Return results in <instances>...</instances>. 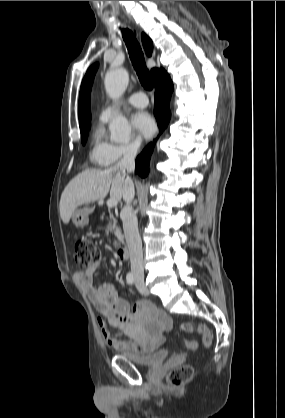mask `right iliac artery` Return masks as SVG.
<instances>
[{"instance_id": "obj_1", "label": "right iliac artery", "mask_w": 285, "mask_h": 418, "mask_svg": "<svg viewBox=\"0 0 285 418\" xmlns=\"http://www.w3.org/2000/svg\"><path fill=\"white\" fill-rule=\"evenodd\" d=\"M126 280H127V283L128 284H131L132 285L134 283V277H133L132 273H128L127 274Z\"/></svg>"}]
</instances>
